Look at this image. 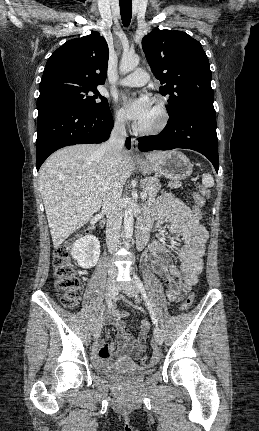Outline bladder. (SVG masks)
<instances>
[{
    "instance_id": "obj_1",
    "label": "bladder",
    "mask_w": 259,
    "mask_h": 431,
    "mask_svg": "<svg viewBox=\"0 0 259 431\" xmlns=\"http://www.w3.org/2000/svg\"><path fill=\"white\" fill-rule=\"evenodd\" d=\"M100 371L109 376L137 378L151 374L153 368H139L130 362L120 361L116 364L102 367Z\"/></svg>"
}]
</instances>
